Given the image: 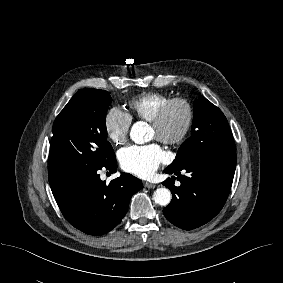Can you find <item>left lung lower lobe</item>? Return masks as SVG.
<instances>
[{
	"instance_id": "obj_1",
	"label": "left lung lower lobe",
	"mask_w": 283,
	"mask_h": 283,
	"mask_svg": "<svg viewBox=\"0 0 283 283\" xmlns=\"http://www.w3.org/2000/svg\"><path fill=\"white\" fill-rule=\"evenodd\" d=\"M236 167V154L192 161L165 172L174 176L162 184L172 192V200L163 209L165 217L185 230L195 229L213 219L229 195ZM181 172L187 173L182 175Z\"/></svg>"
}]
</instances>
